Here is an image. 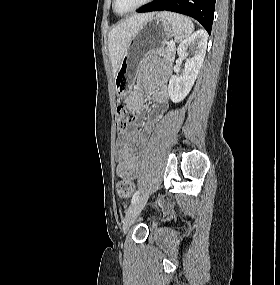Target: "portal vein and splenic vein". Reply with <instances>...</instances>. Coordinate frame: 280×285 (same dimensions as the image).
Returning <instances> with one entry per match:
<instances>
[{
    "label": "portal vein and splenic vein",
    "mask_w": 280,
    "mask_h": 285,
    "mask_svg": "<svg viewBox=\"0 0 280 285\" xmlns=\"http://www.w3.org/2000/svg\"><path fill=\"white\" fill-rule=\"evenodd\" d=\"M167 45L170 47H175V43L173 41H170Z\"/></svg>",
    "instance_id": "18ae733b"
}]
</instances>
